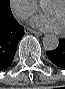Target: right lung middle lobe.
<instances>
[{"mask_svg": "<svg viewBox=\"0 0 65 89\" xmlns=\"http://www.w3.org/2000/svg\"><path fill=\"white\" fill-rule=\"evenodd\" d=\"M10 0H0V9L12 13L9 5Z\"/></svg>", "mask_w": 65, "mask_h": 89, "instance_id": "dd1d6c3e", "label": "right lung middle lobe"}]
</instances>
